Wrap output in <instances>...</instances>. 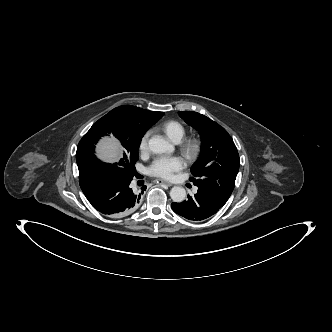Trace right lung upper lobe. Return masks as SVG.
Here are the masks:
<instances>
[{
    "instance_id": "right-lung-upper-lobe-1",
    "label": "right lung upper lobe",
    "mask_w": 332,
    "mask_h": 332,
    "mask_svg": "<svg viewBox=\"0 0 332 332\" xmlns=\"http://www.w3.org/2000/svg\"><path fill=\"white\" fill-rule=\"evenodd\" d=\"M125 109L130 111L133 114L139 115V116H149V117H159L161 115H164L163 112H156V111H149L144 110L135 106L125 105L123 106Z\"/></svg>"
}]
</instances>
